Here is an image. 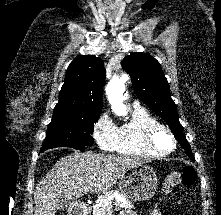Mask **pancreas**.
I'll list each match as a JSON object with an SVG mask.
<instances>
[{
    "instance_id": "cf45deb5",
    "label": "pancreas",
    "mask_w": 221,
    "mask_h": 215,
    "mask_svg": "<svg viewBox=\"0 0 221 215\" xmlns=\"http://www.w3.org/2000/svg\"><path fill=\"white\" fill-rule=\"evenodd\" d=\"M119 195L121 198H118ZM115 202V205L119 208L132 209L134 205L126 199V197L121 192H108L102 195L99 198L98 204L93 207V215H108V212L111 210L112 202Z\"/></svg>"
}]
</instances>
